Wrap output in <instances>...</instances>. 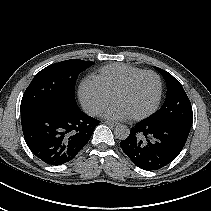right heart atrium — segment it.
Masks as SVG:
<instances>
[{"label": "right heart atrium", "instance_id": "obj_1", "mask_svg": "<svg viewBox=\"0 0 211 211\" xmlns=\"http://www.w3.org/2000/svg\"><path fill=\"white\" fill-rule=\"evenodd\" d=\"M79 98L88 113L98 115L110 102L111 94L93 77L81 82Z\"/></svg>", "mask_w": 211, "mask_h": 211}]
</instances>
